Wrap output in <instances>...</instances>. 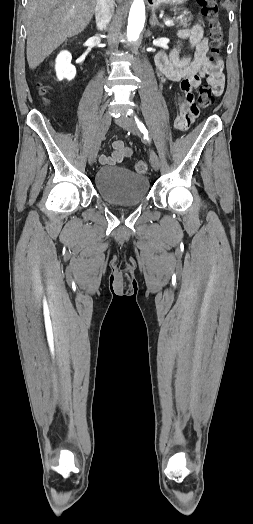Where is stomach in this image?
<instances>
[{
  "instance_id": "1",
  "label": "stomach",
  "mask_w": 253,
  "mask_h": 524,
  "mask_svg": "<svg viewBox=\"0 0 253 524\" xmlns=\"http://www.w3.org/2000/svg\"><path fill=\"white\" fill-rule=\"evenodd\" d=\"M151 1V0H150ZM187 0H152L151 4H152V7H157L159 5H164V4H168V5H180L184 2H186Z\"/></svg>"
}]
</instances>
